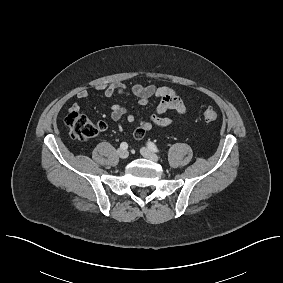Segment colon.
<instances>
[{
  "label": "colon",
  "mask_w": 283,
  "mask_h": 283,
  "mask_svg": "<svg viewBox=\"0 0 283 283\" xmlns=\"http://www.w3.org/2000/svg\"><path fill=\"white\" fill-rule=\"evenodd\" d=\"M203 118L206 122H214L218 119V114L214 110H205ZM66 124L69 127L71 136L76 140L93 138L106 127L103 122L95 123L78 111H72L66 117Z\"/></svg>",
  "instance_id": "obj_1"
}]
</instances>
